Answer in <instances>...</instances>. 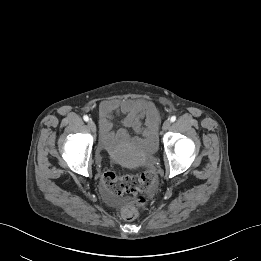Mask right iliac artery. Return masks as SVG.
Segmentation results:
<instances>
[{
  "instance_id": "1",
  "label": "right iliac artery",
  "mask_w": 261,
  "mask_h": 261,
  "mask_svg": "<svg viewBox=\"0 0 261 261\" xmlns=\"http://www.w3.org/2000/svg\"><path fill=\"white\" fill-rule=\"evenodd\" d=\"M83 119H84V121L87 122V121L89 120V117H88L87 115H84V116H83Z\"/></svg>"
}]
</instances>
